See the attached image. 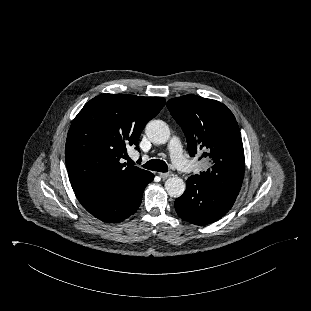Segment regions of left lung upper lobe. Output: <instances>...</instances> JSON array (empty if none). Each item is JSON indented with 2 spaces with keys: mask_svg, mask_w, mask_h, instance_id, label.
Here are the masks:
<instances>
[{
  "mask_svg": "<svg viewBox=\"0 0 311 311\" xmlns=\"http://www.w3.org/2000/svg\"><path fill=\"white\" fill-rule=\"evenodd\" d=\"M167 107L183 129L191 157L210 162L198 176L237 197L242 185L245 158L238 123L222 103L196 95L172 98Z\"/></svg>",
  "mask_w": 311,
  "mask_h": 311,
  "instance_id": "1",
  "label": "left lung upper lobe"
}]
</instances>
